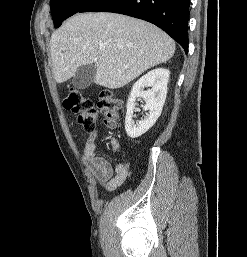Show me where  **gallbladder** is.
<instances>
[{
  "instance_id": "gallbladder-1",
  "label": "gallbladder",
  "mask_w": 247,
  "mask_h": 257,
  "mask_svg": "<svg viewBox=\"0 0 247 257\" xmlns=\"http://www.w3.org/2000/svg\"><path fill=\"white\" fill-rule=\"evenodd\" d=\"M95 74L94 64L82 65L76 70L72 78V85L77 89H85L93 82Z\"/></svg>"
}]
</instances>
